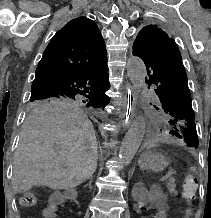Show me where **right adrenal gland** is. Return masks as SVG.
Returning a JSON list of instances; mask_svg holds the SVG:
<instances>
[{
	"label": "right adrenal gland",
	"mask_w": 211,
	"mask_h": 218,
	"mask_svg": "<svg viewBox=\"0 0 211 218\" xmlns=\"http://www.w3.org/2000/svg\"><path fill=\"white\" fill-rule=\"evenodd\" d=\"M92 182H93L92 178H89V184H86V186H89V188H92L91 186Z\"/></svg>",
	"instance_id": "right-adrenal-gland-1"
}]
</instances>
